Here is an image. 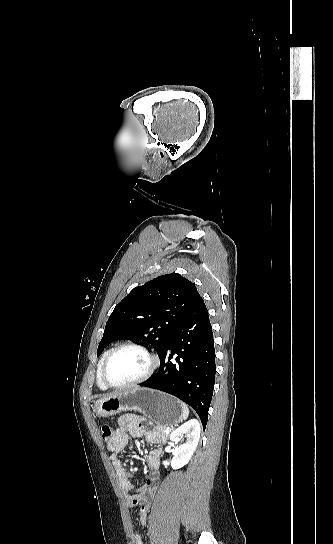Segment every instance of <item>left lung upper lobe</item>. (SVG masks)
<instances>
[{
    "label": "left lung upper lobe",
    "mask_w": 333,
    "mask_h": 544,
    "mask_svg": "<svg viewBox=\"0 0 333 544\" xmlns=\"http://www.w3.org/2000/svg\"><path fill=\"white\" fill-rule=\"evenodd\" d=\"M199 298L195 284L177 273L161 275L134 288L111 313L97 356L113 341L125 338L149 343L159 356Z\"/></svg>",
    "instance_id": "obj_1"
}]
</instances>
